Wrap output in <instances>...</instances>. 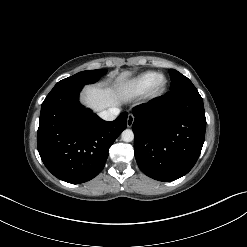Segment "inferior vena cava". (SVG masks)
Returning <instances> with one entry per match:
<instances>
[{
  "label": "inferior vena cava",
  "mask_w": 247,
  "mask_h": 247,
  "mask_svg": "<svg viewBox=\"0 0 247 247\" xmlns=\"http://www.w3.org/2000/svg\"><path fill=\"white\" fill-rule=\"evenodd\" d=\"M120 110L118 108L112 107L108 110H103L99 113L101 119L105 121H113L119 115Z\"/></svg>",
  "instance_id": "inferior-vena-cava-1"
}]
</instances>
